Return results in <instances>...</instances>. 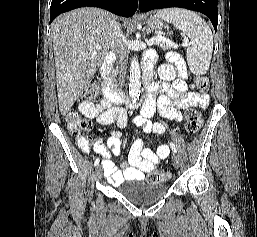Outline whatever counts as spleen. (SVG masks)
Returning <instances> with one entry per match:
<instances>
[{"mask_svg":"<svg viewBox=\"0 0 257 237\" xmlns=\"http://www.w3.org/2000/svg\"><path fill=\"white\" fill-rule=\"evenodd\" d=\"M156 16L172 23L190 38L191 46L186 51L189 68L195 75L205 74L213 51V35L207 23L196 13L179 8L160 10Z\"/></svg>","mask_w":257,"mask_h":237,"instance_id":"3e777b00","label":"spleen"}]
</instances>
